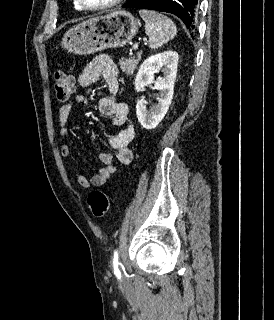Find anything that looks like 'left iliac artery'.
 Listing matches in <instances>:
<instances>
[{
	"label": "left iliac artery",
	"instance_id": "44dca946",
	"mask_svg": "<svg viewBox=\"0 0 274 320\" xmlns=\"http://www.w3.org/2000/svg\"><path fill=\"white\" fill-rule=\"evenodd\" d=\"M113 268H114V274L117 276V278L121 277V273L119 271V258H118V251L114 252L113 256Z\"/></svg>",
	"mask_w": 274,
	"mask_h": 320
}]
</instances>
